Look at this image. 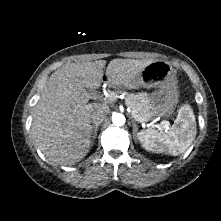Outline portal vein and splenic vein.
<instances>
[{
    "instance_id": "obj_1",
    "label": "portal vein and splenic vein",
    "mask_w": 221,
    "mask_h": 221,
    "mask_svg": "<svg viewBox=\"0 0 221 221\" xmlns=\"http://www.w3.org/2000/svg\"><path fill=\"white\" fill-rule=\"evenodd\" d=\"M132 116L134 117V119H135L136 121H138V122H140V123L143 122L142 119L139 118L138 115L132 114ZM162 124H163V127H164V128H168V126H169V122H168V121H163Z\"/></svg>"
}]
</instances>
